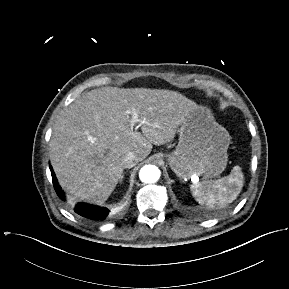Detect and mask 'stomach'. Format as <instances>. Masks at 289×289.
Returning a JSON list of instances; mask_svg holds the SVG:
<instances>
[{
	"label": "stomach",
	"instance_id": "1",
	"mask_svg": "<svg viewBox=\"0 0 289 289\" xmlns=\"http://www.w3.org/2000/svg\"><path fill=\"white\" fill-rule=\"evenodd\" d=\"M178 131L176 149L162 155L178 177L207 179L225 170L231 136L214 120L209 109L196 105L185 116Z\"/></svg>",
	"mask_w": 289,
	"mask_h": 289
}]
</instances>
